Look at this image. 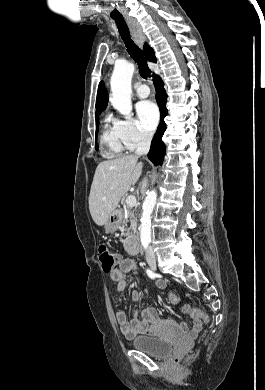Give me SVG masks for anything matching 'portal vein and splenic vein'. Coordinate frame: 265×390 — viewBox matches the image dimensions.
Returning a JSON list of instances; mask_svg holds the SVG:
<instances>
[{
    "label": "portal vein and splenic vein",
    "instance_id": "portal-vein-and-splenic-vein-1",
    "mask_svg": "<svg viewBox=\"0 0 265 390\" xmlns=\"http://www.w3.org/2000/svg\"><path fill=\"white\" fill-rule=\"evenodd\" d=\"M126 204L128 207H134L136 205V197L131 195L126 199Z\"/></svg>",
    "mask_w": 265,
    "mask_h": 390
}]
</instances>
